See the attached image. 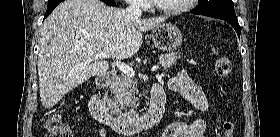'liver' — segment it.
<instances>
[{"mask_svg":"<svg viewBox=\"0 0 280 137\" xmlns=\"http://www.w3.org/2000/svg\"><path fill=\"white\" fill-rule=\"evenodd\" d=\"M165 20L137 18L100 0H65L59 4L40 31L37 66L42 105L50 109L91 76L105 74L109 62L96 58L99 52L114 61L136 54L142 32Z\"/></svg>","mask_w":280,"mask_h":137,"instance_id":"liver-1","label":"liver"}]
</instances>
